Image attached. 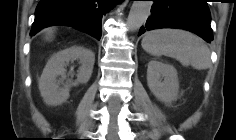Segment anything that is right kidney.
<instances>
[{
	"mask_svg": "<svg viewBox=\"0 0 236 140\" xmlns=\"http://www.w3.org/2000/svg\"><path fill=\"white\" fill-rule=\"evenodd\" d=\"M73 61H78L80 64L77 79L75 82L67 80L64 83L65 67ZM94 62V53L83 47H71L56 53L46 64L39 80V90L44 102L47 105H59L65 102L70 96L71 85L85 84L89 81Z\"/></svg>",
	"mask_w": 236,
	"mask_h": 140,
	"instance_id": "obj_1",
	"label": "right kidney"
}]
</instances>
